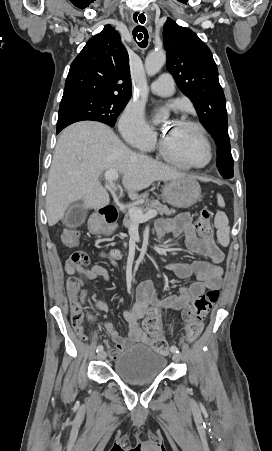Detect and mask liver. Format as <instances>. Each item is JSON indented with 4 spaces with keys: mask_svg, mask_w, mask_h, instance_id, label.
I'll list each match as a JSON object with an SVG mask.
<instances>
[{
    "mask_svg": "<svg viewBox=\"0 0 272 451\" xmlns=\"http://www.w3.org/2000/svg\"><path fill=\"white\" fill-rule=\"evenodd\" d=\"M105 170L123 174L122 184L130 200H136L137 192L157 180L167 182L186 176L172 166L135 154L105 124L77 122L63 130L56 144L46 196L49 226L62 220L77 200H83L85 210L108 206L109 194L99 182Z\"/></svg>",
    "mask_w": 272,
    "mask_h": 451,
    "instance_id": "obj_1",
    "label": "liver"
}]
</instances>
